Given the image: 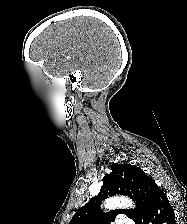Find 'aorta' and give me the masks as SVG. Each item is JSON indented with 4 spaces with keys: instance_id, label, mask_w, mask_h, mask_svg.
Segmentation results:
<instances>
[{
    "instance_id": "aorta-1",
    "label": "aorta",
    "mask_w": 187,
    "mask_h": 224,
    "mask_svg": "<svg viewBox=\"0 0 187 224\" xmlns=\"http://www.w3.org/2000/svg\"><path fill=\"white\" fill-rule=\"evenodd\" d=\"M134 207L133 201L128 197H111L105 200L104 208L105 209H117V208H132Z\"/></svg>"
}]
</instances>
